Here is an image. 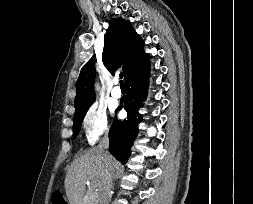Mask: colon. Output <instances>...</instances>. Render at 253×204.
Segmentation results:
<instances>
[{"mask_svg": "<svg viewBox=\"0 0 253 204\" xmlns=\"http://www.w3.org/2000/svg\"><path fill=\"white\" fill-rule=\"evenodd\" d=\"M63 201L64 199L60 192H56L53 194L52 200H51L52 204H63Z\"/></svg>", "mask_w": 253, "mask_h": 204, "instance_id": "obj_1", "label": "colon"}]
</instances>
